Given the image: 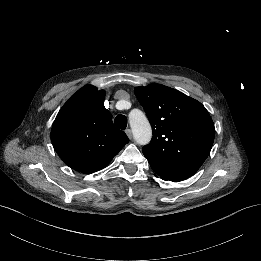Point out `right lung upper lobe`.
<instances>
[{
    "instance_id": "obj_1",
    "label": "right lung upper lobe",
    "mask_w": 261,
    "mask_h": 261,
    "mask_svg": "<svg viewBox=\"0 0 261 261\" xmlns=\"http://www.w3.org/2000/svg\"><path fill=\"white\" fill-rule=\"evenodd\" d=\"M104 98L105 91L84 86L63 105L52 126L51 141L59 157L85 174L102 169L129 142L113 126Z\"/></svg>"
}]
</instances>
